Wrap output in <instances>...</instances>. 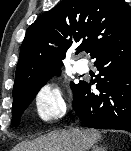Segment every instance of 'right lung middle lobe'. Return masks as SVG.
I'll return each instance as SVG.
<instances>
[{
    "label": "right lung middle lobe",
    "instance_id": "obj_1",
    "mask_svg": "<svg viewBox=\"0 0 131 151\" xmlns=\"http://www.w3.org/2000/svg\"><path fill=\"white\" fill-rule=\"evenodd\" d=\"M60 69L52 72L44 73L36 77L28 84L13 90V106H12V125L18 126L21 115L34 99L41 87L45 85L47 80L53 75L59 74ZM72 90L75 89L77 84H71Z\"/></svg>",
    "mask_w": 131,
    "mask_h": 151
}]
</instances>
